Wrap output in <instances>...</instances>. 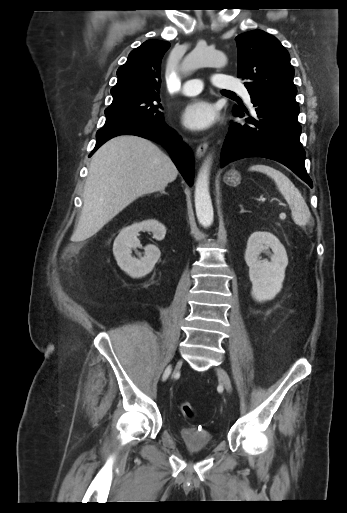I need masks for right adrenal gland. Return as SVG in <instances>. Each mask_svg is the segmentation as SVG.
<instances>
[{
    "instance_id": "2a0ac1e0",
    "label": "right adrenal gland",
    "mask_w": 347,
    "mask_h": 513,
    "mask_svg": "<svg viewBox=\"0 0 347 513\" xmlns=\"http://www.w3.org/2000/svg\"><path fill=\"white\" fill-rule=\"evenodd\" d=\"M162 194H167V193L164 190H162L159 195H162ZM159 195H157V196H159Z\"/></svg>"
}]
</instances>
